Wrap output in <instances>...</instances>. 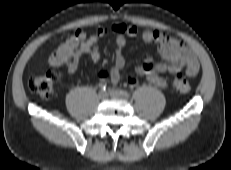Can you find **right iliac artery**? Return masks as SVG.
<instances>
[{"label": "right iliac artery", "instance_id": "82829eb1", "mask_svg": "<svg viewBox=\"0 0 231 170\" xmlns=\"http://www.w3.org/2000/svg\"><path fill=\"white\" fill-rule=\"evenodd\" d=\"M99 87L101 88L102 91H106L107 89V84L106 82H100Z\"/></svg>", "mask_w": 231, "mask_h": 170}]
</instances>
